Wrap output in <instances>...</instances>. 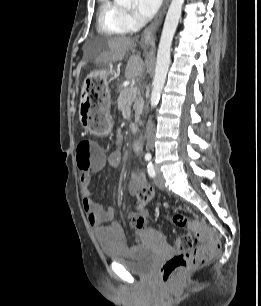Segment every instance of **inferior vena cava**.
<instances>
[{"instance_id": "inferior-vena-cava-1", "label": "inferior vena cava", "mask_w": 261, "mask_h": 306, "mask_svg": "<svg viewBox=\"0 0 261 306\" xmlns=\"http://www.w3.org/2000/svg\"><path fill=\"white\" fill-rule=\"evenodd\" d=\"M153 123L151 118H149L147 123V149L152 150L153 149Z\"/></svg>"}]
</instances>
